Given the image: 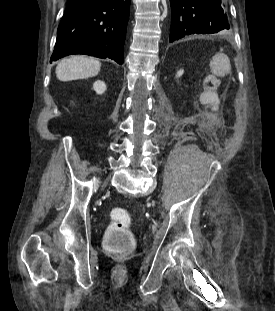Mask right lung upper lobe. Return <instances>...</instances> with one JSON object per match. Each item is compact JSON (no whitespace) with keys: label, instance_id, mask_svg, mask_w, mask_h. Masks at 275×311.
Masks as SVG:
<instances>
[{"label":"right lung upper lobe","instance_id":"obj_1","mask_svg":"<svg viewBox=\"0 0 275 311\" xmlns=\"http://www.w3.org/2000/svg\"><path fill=\"white\" fill-rule=\"evenodd\" d=\"M73 1H76V0H68V3H69V2H73Z\"/></svg>","mask_w":275,"mask_h":311}]
</instances>
